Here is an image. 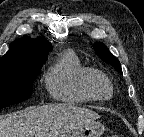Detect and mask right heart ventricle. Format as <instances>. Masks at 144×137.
Returning <instances> with one entry per match:
<instances>
[{
  "label": "right heart ventricle",
  "instance_id": "right-heart-ventricle-1",
  "mask_svg": "<svg viewBox=\"0 0 144 137\" xmlns=\"http://www.w3.org/2000/svg\"><path fill=\"white\" fill-rule=\"evenodd\" d=\"M91 69L71 50L61 54L45 74L50 96L62 103L78 105L95 101L86 91L84 81Z\"/></svg>",
  "mask_w": 144,
  "mask_h": 137
}]
</instances>
